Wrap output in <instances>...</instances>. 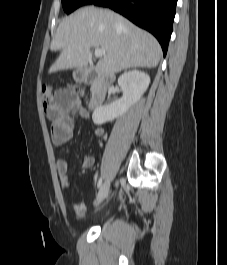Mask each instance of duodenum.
<instances>
[{
	"instance_id": "410a0bca",
	"label": "duodenum",
	"mask_w": 227,
	"mask_h": 265,
	"mask_svg": "<svg viewBox=\"0 0 227 265\" xmlns=\"http://www.w3.org/2000/svg\"><path fill=\"white\" fill-rule=\"evenodd\" d=\"M77 79L83 83L93 84V93L89 100V108L94 110L100 107L106 97L109 85L108 78L91 69L85 68L78 72Z\"/></svg>"
}]
</instances>
